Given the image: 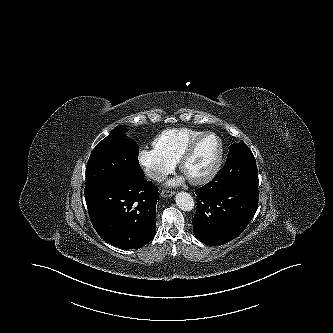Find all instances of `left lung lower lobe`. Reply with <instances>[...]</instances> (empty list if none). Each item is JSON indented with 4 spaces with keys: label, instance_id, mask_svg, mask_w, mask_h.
I'll return each instance as SVG.
<instances>
[{
    "label": "left lung lower lobe",
    "instance_id": "left-lung-lower-lobe-1",
    "mask_svg": "<svg viewBox=\"0 0 333 333\" xmlns=\"http://www.w3.org/2000/svg\"><path fill=\"white\" fill-rule=\"evenodd\" d=\"M227 170L223 167L212 181L195 190L193 232L211 246L223 245L239 236L258 208V186L236 180Z\"/></svg>",
    "mask_w": 333,
    "mask_h": 333
}]
</instances>
